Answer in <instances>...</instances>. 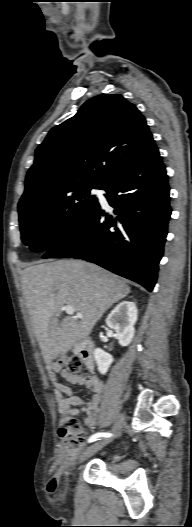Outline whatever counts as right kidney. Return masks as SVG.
<instances>
[{"instance_id": "ca27d5eb", "label": "right kidney", "mask_w": 192, "mask_h": 527, "mask_svg": "<svg viewBox=\"0 0 192 527\" xmlns=\"http://www.w3.org/2000/svg\"><path fill=\"white\" fill-rule=\"evenodd\" d=\"M137 316V307L134 302L130 301L121 302L108 315L106 323L116 332V337L121 346H127L131 343L135 333L134 325ZM94 359L101 374L108 371L114 360L110 354L100 348L94 350Z\"/></svg>"}]
</instances>
